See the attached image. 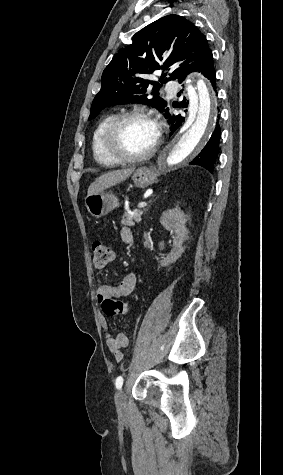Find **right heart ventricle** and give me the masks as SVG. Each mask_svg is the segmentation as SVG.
Wrapping results in <instances>:
<instances>
[{
  "mask_svg": "<svg viewBox=\"0 0 283 475\" xmlns=\"http://www.w3.org/2000/svg\"><path fill=\"white\" fill-rule=\"evenodd\" d=\"M117 115L114 113L103 117L96 125L91 139V149L93 156L97 162H105V158L110 156L108 152L102 151V141L107 128Z\"/></svg>",
  "mask_w": 283,
  "mask_h": 475,
  "instance_id": "e07e8e85",
  "label": "right heart ventricle"
}]
</instances>
